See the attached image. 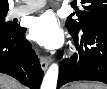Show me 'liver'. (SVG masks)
Listing matches in <instances>:
<instances>
[{"mask_svg":"<svg viewBox=\"0 0 107 89\" xmlns=\"http://www.w3.org/2000/svg\"><path fill=\"white\" fill-rule=\"evenodd\" d=\"M0 89H25V88L15 79L7 75L1 74Z\"/></svg>","mask_w":107,"mask_h":89,"instance_id":"liver-1","label":"liver"}]
</instances>
